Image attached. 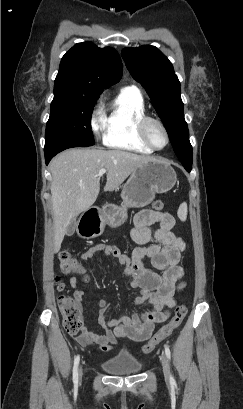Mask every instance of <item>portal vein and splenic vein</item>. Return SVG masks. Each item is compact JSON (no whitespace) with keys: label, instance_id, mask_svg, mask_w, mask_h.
Here are the masks:
<instances>
[{"label":"portal vein and splenic vein","instance_id":"obj_1","mask_svg":"<svg viewBox=\"0 0 243 409\" xmlns=\"http://www.w3.org/2000/svg\"><path fill=\"white\" fill-rule=\"evenodd\" d=\"M107 172V170L106 169H104V168H102V169H100L99 170V176H102L103 174H105Z\"/></svg>","mask_w":243,"mask_h":409}]
</instances>
